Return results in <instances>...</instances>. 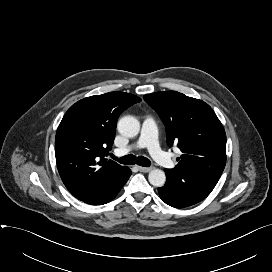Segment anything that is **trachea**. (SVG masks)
I'll list each match as a JSON object with an SVG mask.
<instances>
[{"label":"trachea","mask_w":272,"mask_h":272,"mask_svg":"<svg viewBox=\"0 0 272 272\" xmlns=\"http://www.w3.org/2000/svg\"><path fill=\"white\" fill-rule=\"evenodd\" d=\"M112 158L116 161H118L121 164H125V165H134L137 164L139 166H143V167H149L151 162L148 158L144 157V156H134L132 154L123 156L121 158H118L114 155H112Z\"/></svg>","instance_id":"trachea-1"}]
</instances>
